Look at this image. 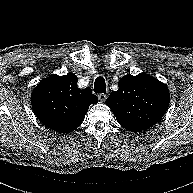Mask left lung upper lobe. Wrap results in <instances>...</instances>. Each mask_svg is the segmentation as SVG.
I'll return each instance as SVG.
<instances>
[{"label": "left lung upper lobe", "instance_id": "5c2ea615", "mask_svg": "<svg viewBox=\"0 0 193 193\" xmlns=\"http://www.w3.org/2000/svg\"><path fill=\"white\" fill-rule=\"evenodd\" d=\"M118 86L106 104L118 123L127 130L134 133L144 131L166 113L170 103L168 87L151 75L123 76Z\"/></svg>", "mask_w": 193, "mask_h": 193}]
</instances>
